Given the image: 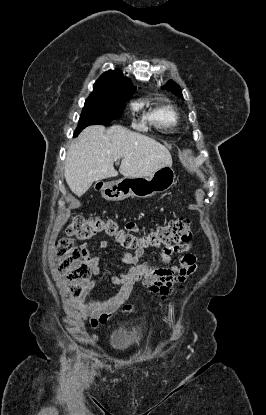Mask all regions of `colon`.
Instances as JSON below:
<instances>
[{
    "instance_id": "colon-1",
    "label": "colon",
    "mask_w": 266,
    "mask_h": 415,
    "mask_svg": "<svg viewBox=\"0 0 266 415\" xmlns=\"http://www.w3.org/2000/svg\"><path fill=\"white\" fill-rule=\"evenodd\" d=\"M69 237L61 239L57 244L59 272L69 282L74 294L81 291L82 283L87 280L90 264L86 253L76 247L72 237L88 240L104 233L113 238L126 249L160 248L172 244L188 242L192 238L191 221L177 218L167 224L159 225L142 238H137L130 230L123 229L116 220L102 217L76 216L67 228Z\"/></svg>"
}]
</instances>
